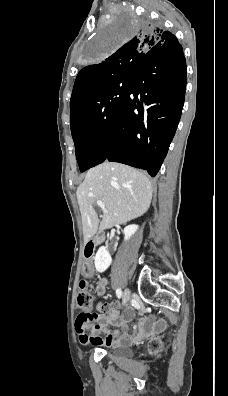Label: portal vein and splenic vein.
Here are the masks:
<instances>
[{
	"instance_id": "18ae733b",
	"label": "portal vein and splenic vein",
	"mask_w": 228,
	"mask_h": 396,
	"mask_svg": "<svg viewBox=\"0 0 228 396\" xmlns=\"http://www.w3.org/2000/svg\"><path fill=\"white\" fill-rule=\"evenodd\" d=\"M96 203H97V205L102 209L103 213H108L107 210H106V207H105V204H104L103 201L97 200Z\"/></svg>"
}]
</instances>
